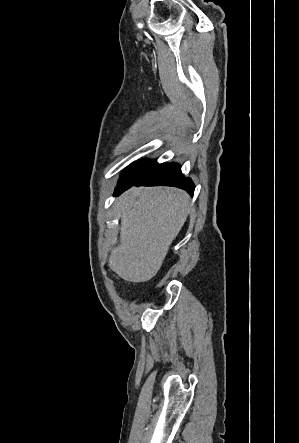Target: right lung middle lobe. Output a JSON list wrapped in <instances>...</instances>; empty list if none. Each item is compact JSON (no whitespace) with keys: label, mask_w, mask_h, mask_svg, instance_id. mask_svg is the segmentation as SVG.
<instances>
[{"label":"right lung middle lobe","mask_w":299,"mask_h":443,"mask_svg":"<svg viewBox=\"0 0 299 443\" xmlns=\"http://www.w3.org/2000/svg\"><path fill=\"white\" fill-rule=\"evenodd\" d=\"M157 165L156 161L145 160L131 164L126 170L123 171L118 185L128 184L134 182Z\"/></svg>","instance_id":"1"}]
</instances>
